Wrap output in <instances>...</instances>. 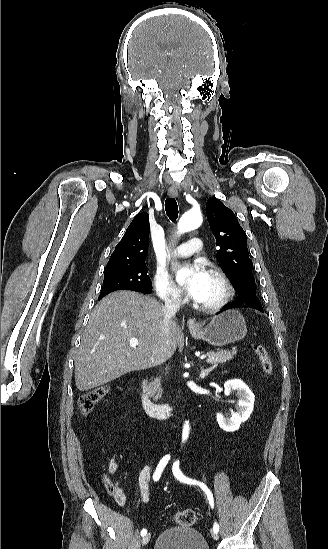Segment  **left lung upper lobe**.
<instances>
[{
    "label": "left lung upper lobe",
    "instance_id": "5c2ea615",
    "mask_svg": "<svg viewBox=\"0 0 328 549\" xmlns=\"http://www.w3.org/2000/svg\"><path fill=\"white\" fill-rule=\"evenodd\" d=\"M207 219L218 247L216 258L228 276L239 300L245 304L258 303L252 260L249 257L246 234L235 214L220 200L207 201Z\"/></svg>",
    "mask_w": 328,
    "mask_h": 549
}]
</instances>
